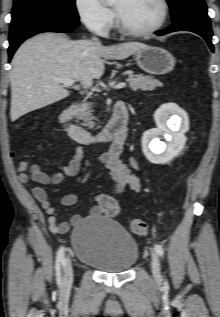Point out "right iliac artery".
Listing matches in <instances>:
<instances>
[{"mask_svg":"<svg viewBox=\"0 0 220 317\" xmlns=\"http://www.w3.org/2000/svg\"><path fill=\"white\" fill-rule=\"evenodd\" d=\"M65 266V256H64V247H60V249L57 252V257H56V264H55V269H56V277L57 280H61V267Z\"/></svg>","mask_w":220,"mask_h":317,"instance_id":"1","label":"right iliac artery"}]
</instances>
